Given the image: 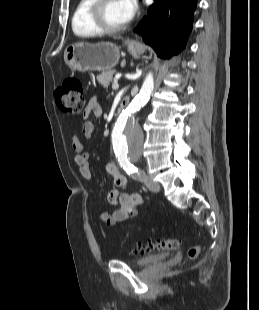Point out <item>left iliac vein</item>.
<instances>
[{
  "instance_id": "1",
  "label": "left iliac vein",
  "mask_w": 259,
  "mask_h": 310,
  "mask_svg": "<svg viewBox=\"0 0 259 310\" xmlns=\"http://www.w3.org/2000/svg\"><path fill=\"white\" fill-rule=\"evenodd\" d=\"M145 186L152 192L157 193L160 190V185L153 181L148 175L144 174V177L142 178Z\"/></svg>"
}]
</instances>
